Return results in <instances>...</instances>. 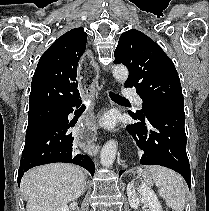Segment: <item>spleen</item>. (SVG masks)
I'll return each instance as SVG.
<instances>
[{"mask_svg":"<svg viewBox=\"0 0 209 211\" xmlns=\"http://www.w3.org/2000/svg\"><path fill=\"white\" fill-rule=\"evenodd\" d=\"M147 170L150 172L158 187V192L165 199L167 206L174 211H183L185 208L186 186L182 177L162 166H149Z\"/></svg>","mask_w":209,"mask_h":211,"instance_id":"spleen-1","label":"spleen"}]
</instances>
